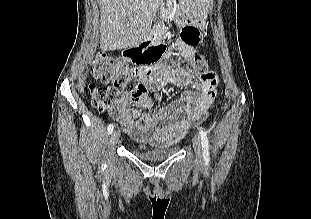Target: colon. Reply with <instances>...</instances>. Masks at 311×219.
<instances>
[{
    "mask_svg": "<svg viewBox=\"0 0 311 219\" xmlns=\"http://www.w3.org/2000/svg\"><path fill=\"white\" fill-rule=\"evenodd\" d=\"M181 39L195 44L197 41L191 27L183 29ZM131 49L127 50V54L134 62L140 64L153 63L164 53V48L156 49L150 53L144 51L142 54L133 53L130 51ZM177 64L179 70L185 74H205L208 70L207 60L202 55L182 56L178 59ZM91 71L93 76L102 83V85L90 84L89 86L93 103L98 108H116L121 103V93L128 100L137 102L143 100L146 95L147 86L144 83L136 82L134 70L129 67L125 59L99 53L91 63Z\"/></svg>",
    "mask_w": 311,
    "mask_h": 219,
    "instance_id": "5ec220e1",
    "label": "colon"
}]
</instances>
